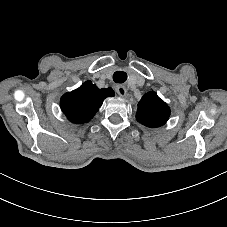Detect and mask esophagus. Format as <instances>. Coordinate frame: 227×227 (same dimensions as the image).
Returning a JSON list of instances; mask_svg holds the SVG:
<instances>
[{"label":"esophagus","mask_w":227,"mask_h":227,"mask_svg":"<svg viewBox=\"0 0 227 227\" xmlns=\"http://www.w3.org/2000/svg\"><path fill=\"white\" fill-rule=\"evenodd\" d=\"M115 90H116V92L118 93V95L120 97L125 98L127 96L126 87H124V86H116Z\"/></svg>","instance_id":"34e87169"}]
</instances>
